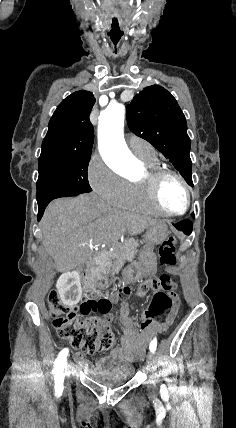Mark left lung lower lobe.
<instances>
[{
  "instance_id": "obj_1",
  "label": "left lung lower lobe",
  "mask_w": 236,
  "mask_h": 428,
  "mask_svg": "<svg viewBox=\"0 0 236 428\" xmlns=\"http://www.w3.org/2000/svg\"><path fill=\"white\" fill-rule=\"evenodd\" d=\"M192 217H194V215L192 214ZM174 226L183 231L185 234L189 235L192 232V222L190 220H183L177 224H174Z\"/></svg>"
}]
</instances>
